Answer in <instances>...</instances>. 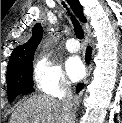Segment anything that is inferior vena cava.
<instances>
[{
	"label": "inferior vena cava",
	"mask_w": 122,
	"mask_h": 123,
	"mask_svg": "<svg viewBox=\"0 0 122 123\" xmlns=\"http://www.w3.org/2000/svg\"><path fill=\"white\" fill-rule=\"evenodd\" d=\"M64 86H65L64 96L60 100L61 105H62L63 114L65 116L74 115L72 111L73 93H72L71 86L69 83H65Z\"/></svg>",
	"instance_id": "1"
}]
</instances>
